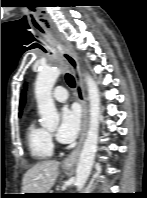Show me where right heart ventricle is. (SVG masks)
Listing matches in <instances>:
<instances>
[{"mask_svg":"<svg viewBox=\"0 0 147 198\" xmlns=\"http://www.w3.org/2000/svg\"><path fill=\"white\" fill-rule=\"evenodd\" d=\"M26 140L33 158L46 160L53 154V144L49 132L31 121L26 129Z\"/></svg>","mask_w":147,"mask_h":198,"instance_id":"obj_1","label":"right heart ventricle"}]
</instances>
